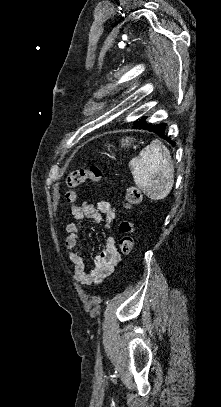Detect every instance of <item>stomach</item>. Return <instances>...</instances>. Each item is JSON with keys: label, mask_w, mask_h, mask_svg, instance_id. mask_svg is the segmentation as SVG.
<instances>
[{"label": "stomach", "mask_w": 221, "mask_h": 407, "mask_svg": "<svg viewBox=\"0 0 221 407\" xmlns=\"http://www.w3.org/2000/svg\"><path fill=\"white\" fill-rule=\"evenodd\" d=\"M134 141H135V139L133 137H126L125 139L121 140V145L123 147H125V146L129 147L131 145V143H133Z\"/></svg>", "instance_id": "1"}]
</instances>
